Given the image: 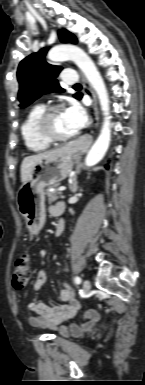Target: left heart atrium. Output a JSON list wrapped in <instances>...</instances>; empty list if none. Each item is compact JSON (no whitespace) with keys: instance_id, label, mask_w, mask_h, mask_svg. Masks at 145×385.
<instances>
[{"instance_id":"obj_1","label":"left heart atrium","mask_w":145,"mask_h":385,"mask_svg":"<svg viewBox=\"0 0 145 385\" xmlns=\"http://www.w3.org/2000/svg\"><path fill=\"white\" fill-rule=\"evenodd\" d=\"M64 112L66 118L75 131L80 130L85 125L86 114L76 102H71Z\"/></svg>"}]
</instances>
